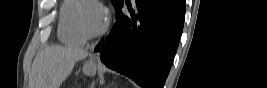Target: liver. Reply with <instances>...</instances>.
<instances>
[{
  "label": "liver",
  "mask_w": 267,
  "mask_h": 88,
  "mask_svg": "<svg viewBox=\"0 0 267 88\" xmlns=\"http://www.w3.org/2000/svg\"><path fill=\"white\" fill-rule=\"evenodd\" d=\"M88 52L74 46L52 45L42 49L33 61L29 88H59L75 63Z\"/></svg>",
  "instance_id": "liver-1"
}]
</instances>
